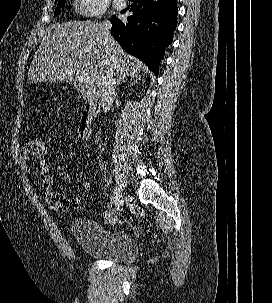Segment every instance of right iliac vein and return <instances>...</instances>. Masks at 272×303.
Returning a JSON list of instances; mask_svg holds the SVG:
<instances>
[{"label": "right iliac vein", "instance_id": "63e3f726", "mask_svg": "<svg viewBox=\"0 0 272 303\" xmlns=\"http://www.w3.org/2000/svg\"><path fill=\"white\" fill-rule=\"evenodd\" d=\"M116 196L118 197V201H117V205H116L117 210L121 211L122 207H123V203H124V198H123V194L119 188H116Z\"/></svg>", "mask_w": 272, "mask_h": 303}]
</instances>
